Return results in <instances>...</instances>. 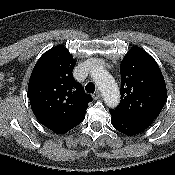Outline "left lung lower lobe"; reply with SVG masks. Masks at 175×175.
<instances>
[{
  "label": "left lung lower lobe",
  "mask_w": 175,
  "mask_h": 175,
  "mask_svg": "<svg viewBox=\"0 0 175 175\" xmlns=\"http://www.w3.org/2000/svg\"><path fill=\"white\" fill-rule=\"evenodd\" d=\"M110 114L113 127L128 136H133L143 132L154 120L152 118H128L114 113Z\"/></svg>",
  "instance_id": "1"
}]
</instances>
